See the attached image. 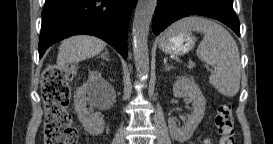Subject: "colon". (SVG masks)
Here are the masks:
<instances>
[{
  "instance_id": "1",
  "label": "colon",
  "mask_w": 273,
  "mask_h": 144,
  "mask_svg": "<svg viewBox=\"0 0 273 144\" xmlns=\"http://www.w3.org/2000/svg\"><path fill=\"white\" fill-rule=\"evenodd\" d=\"M74 70L70 67L49 66L41 75V92L46 109L44 143L75 144L78 131L68 111L70 81ZM215 126L219 144H235V129L232 104L228 101L218 106Z\"/></svg>"
}]
</instances>
